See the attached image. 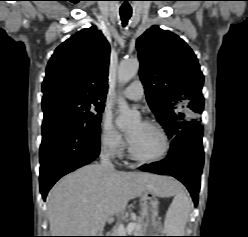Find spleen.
I'll list each match as a JSON object with an SVG mask.
<instances>
[{
    "label": "spleen",
    "instance_id": "3e777b00",
    "mask_svg": "<svg viewBox=\"0 0 248 237\" xmlns=\"http://www.w3.org/2000/svg\"><path fill=\"white\" fill-rule=\"evenodd\" d=\"M167 210L164 229L167 236H183L191 203L183 190L178 189Z\"/></svg>",
    "mask_w": 248,
    "mask_h": 237
}]
</instances>
